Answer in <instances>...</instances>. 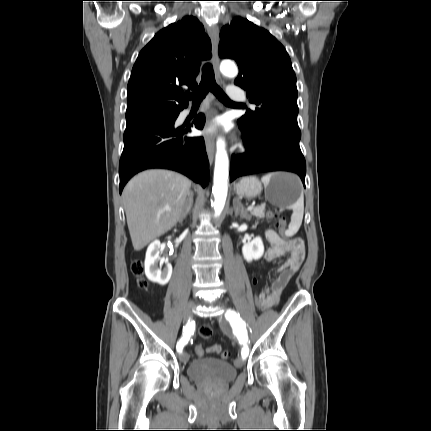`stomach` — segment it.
<instances>
[{"instance_id": "stomach-1", "label": "stomach", "mask_w": 431, "mask_h": 431, "mask_svg": "<svg viewBox=\"0 0 431 431\" xmlns=\"http://www.w3.org/2000/svg\"><path fill=\"white\" fill-rule=\"evenodd\" d=\"M264 188L266 199L280 208H291L302 194L299 178L286 172L273 173ZM262 189L261 182L254 176L242 178L234 185V192L238 197L255 198L261 194Z\"/></svg>"}]
</instances>
